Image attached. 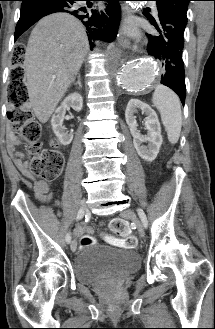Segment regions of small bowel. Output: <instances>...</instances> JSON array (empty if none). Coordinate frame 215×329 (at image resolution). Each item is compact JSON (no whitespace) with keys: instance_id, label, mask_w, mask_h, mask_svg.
Returning <instances> with one entry per match:
<instances>
[{"instance_id":"obj_1","label":"small bowel","mask_w":215,"mask_h":329,"mask_svg":"<svg viewBox=\"0 0 215 329\" xmlns=\"http://www.w3.org/2000/svg\"><path fill=\"white\" fill-rule=\"evenodd\" d=\"M16 144V140L13 135H11L10 142H9V151L10 154L19 168V170L27 177H31V173L29 171L28 163L23 160V155L19 152H16L14 149V145ZM34 190H35V196L37 199H39L42 202H50L52 200V195L48 194V185L45 182L42 181H36L34 183ZM89 229L85 225H80L76 233L79 235H82L84 232L88 231ZM99 234L101 236H104L106 234V231L104 229H101L99 231ZM111 242L119 244L121 243L120 240L117 239H109Z\"/></svg>"}]
</instances>
